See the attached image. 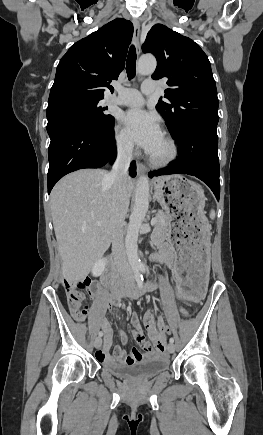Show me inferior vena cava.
Masks as SVG:
<instances>
[{"instance_id": "602c4592", "label": "inferior vena cava", "mask_w": 263, "mask_h": 435, "mask_svg": "<svg viewBox=\"0 0 263 435\" xmlns=\"http://www.w3.org/2000/svg\"><path fill=\"white\" fill-rule=\"evenodd\" d=\"M132 151V144L120 150L111 172L106 176V180L112 183L114 204L112 253L116 267L121 275L132 274L130 264L126 257L123 239V222L129 206V194L126 187L127 171L131 161Z\"/></svg>"}]
</instances>
